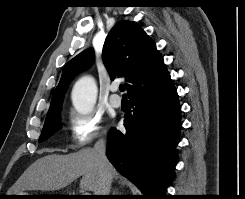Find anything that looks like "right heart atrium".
<instances>
[{"mask_svg":"<svg viewBox=\"0 0 245 199\" xmlns=\"http://www.w3.org/2000/svg\"><path fill=\"white\" fill-rule=\"evenodd\" d=\"M70 138L76 148H82L95 139L103 137L105 131L102 117L95 111L80 113L72 110L68 116Z\"/></svg>","mask_w":245,"mask_h":199,"instance_id":"obj_1","label":"right heart atrium"}]
</instances>
